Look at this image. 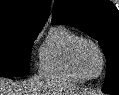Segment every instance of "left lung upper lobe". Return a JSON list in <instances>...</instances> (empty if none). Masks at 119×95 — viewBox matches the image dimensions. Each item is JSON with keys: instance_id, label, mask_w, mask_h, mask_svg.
Listing matches in <instances>:
<instances>
[{"instance_id": "5c2ea615", "label": "left lung upper lobe", "mask_w": 119, "mask_h": 95, "mask_svg": "<svg viewBox=\"0 0 119 95\" xmlns=\"http://www.w3.org/2000/svg\"><path fill=\"white\" fill-rule=\"evenodd\" d=\"M53 24L74 26L98 40L107 59L102 91L119 92V11L109 0H55Z\"/></svg>"}]
</instances>
